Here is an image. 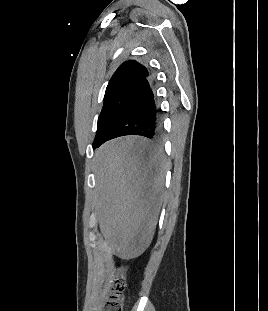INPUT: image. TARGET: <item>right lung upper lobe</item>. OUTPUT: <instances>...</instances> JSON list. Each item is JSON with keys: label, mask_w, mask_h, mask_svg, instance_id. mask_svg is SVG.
Returning a JSON list of instances; mask_svg holds the SVG:
<instances>
[{"label": "right lung upper lobe", "mask_w": 268, "mask_h": 311, "mask_svg": "<svg viewBox=\"0 0 268 311\" xmlns=\"http://www.w3.org/2000/svg\"><path fill=\"white\" fill-rule=\"evenodd\" d=\"M147 75V69L140 63L133 60L123 62L110 79L105 94L123 86L136 85Z\"/></svg>", "instance_id": "cb5924a9"}]
</instances>
